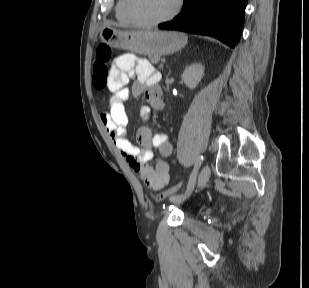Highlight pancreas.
Segmentation results:
<instances>
[{"mask_svg":"<svg viewBox=\"0 0 309 288\" xmlns=\"http://www.w3.org/2000/svg\"><path fill=\"white\" fill-rule=\"evenodd\" d=\"M149 60H150V62L151 63H153V64H157L158 62H159V60H160V57H149Z\"/></svg>","mask_w":309,"mask_h":288,"instance_id":"1","label":"pancreas"}]
</instances>
